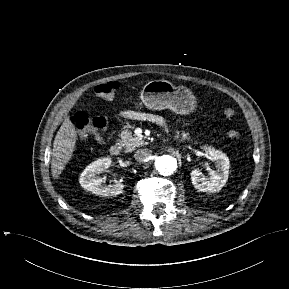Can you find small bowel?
<instances>
[{"label":"small bowel","mask_w":289,"mask_h":289,"mask_svg":"<svg viewBox=\"0 0 289 289\" xmlns=\"http://www.w3.org/2000/svg\"><path fill=\"white\" fill-rule=\"evenodd\" d=\"M121 115L125 118H129V119H143V118H146L148 119L149 121L153 122V123H156L158 125H164V119L158 115H153V114H149V115H146V114H142V113H139L137 111H133V110H123L121 112ZM92 134L94 135V137L98 140V141H102L103 138L102 136L98 133L97 130H92L91 131Z\"/></svg>","instance_id":"small-bowel-1"}]
</instances>
